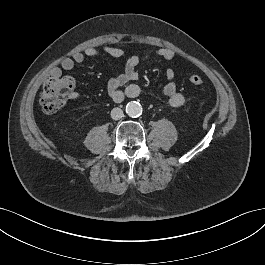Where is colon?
Returning a JSON list of instances; mask_svg holds the SVG:
<instances>
[{"label": "colon", "mask_w": 265, "mask_h": 265, "mask_svg": "<svg viewBox=\"0 0 265 265\" xmlns=\"http://www.w3.org/2000/svg\"><path fill=\"white\" fill-rule=\"evenodd\" d=\"M189 81L196 86L204 84L203 78L199 75H190ZM74 89L75 81L72 77L50 75L45 80L39 97L42 110L47 114L59 112L73 96Z\"/></svg>", "instance_id": "obj_1"}]
</instances>
